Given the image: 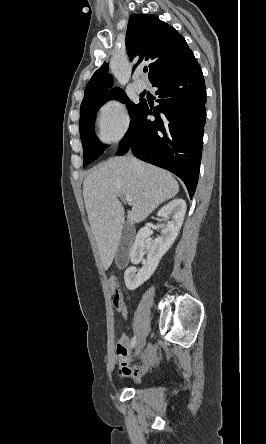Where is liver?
<instances>
[{
    "mask_svg": "<svg viewBox=\"0 0 266 444\" xmlns=\"http://www.w3.org/2000/svg\"><path fill=\"white\" fill-rule=\"evenodd\" d=\"M178 191V182L170 173L125 156L109 159L85 178V207L105 270L117 253L125 222L118 197L133 198L132 209L127 212L128 224L132 226L146 219Z\"/></svg>",
    "mask_w": 266,
    "mask_h": 444,
    "instance_id": "liver-1",
    "label": "liver"
}]
</instances>
